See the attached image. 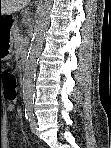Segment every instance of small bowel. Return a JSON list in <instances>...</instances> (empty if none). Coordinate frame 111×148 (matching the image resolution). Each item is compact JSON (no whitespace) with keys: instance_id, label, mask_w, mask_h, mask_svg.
<instances>
[{"instance_id":"obj_1","label":"small bowel","mask_w":111,"mask_h":148,"mask_svg":"<svg viewBox=\"0 0 111 148\" xmlns=\"http://www.w3.org/2000/svg\"><path fill=\"white\" fill-rule=\"evenodd\" d=\"M14 104H10L9 106H8V108H7V110L9 111V112H12L13 110H14Z\"/></svg>"}]
</instances>
